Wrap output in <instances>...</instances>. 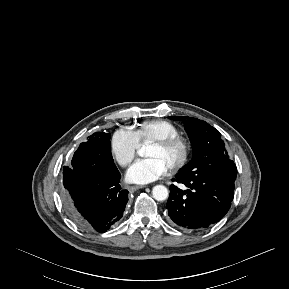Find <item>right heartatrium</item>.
I'll list each match as a JSON object with an SVG mask.
<instances>
[{
    "instance_id": "d8ad5b80",
    "label": "right heart atrium",
    "mask_w": 289,
    "mask_h": 289,
    "mask_svg": "<svg viewBox=\"0 0 289 289\" xmlns=\"http://www.w3.org/2000/svg\"><path fill=\"white\" fill-rule=\"evenodd\" d=\"M139 143L134 133L122 128L114 132L110 140V149L116 161L123 167L136 157Z\"/></svg>"
}]
</instances>
